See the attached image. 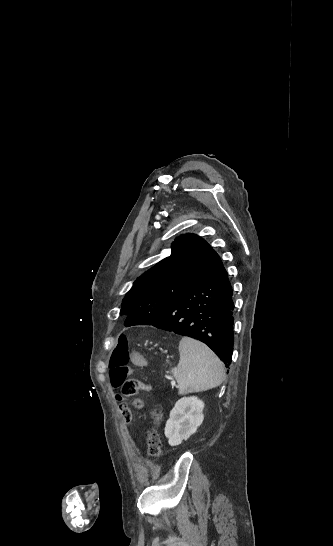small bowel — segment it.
<instances>
[{
    "instance_id": "obj_1",
    "label": "small bowel",
    "mask_w": 333,
    "mask_h": 546,
    "mask_svg": "<svg viewBox=\"0 0 333 546\" xmlns=\"http://www.w3.org/2000/svg\"><path fill=\"white\" fill-rule=\"evenodd\" d=\"M129 361L131 365L135 366L138 372H145L147 370L148 366L146 356L144 355L140 347L135 346L132 348ZM119 403L120 404L118 405V408L122 410L121 414L122 416H124V424L128 427L131 424L130 422L134 419L133 416H131L133 410L132 408H130L129 404L126 403V400L124 398H121L119 400Z\"/></svg>"
}]
</instances>
